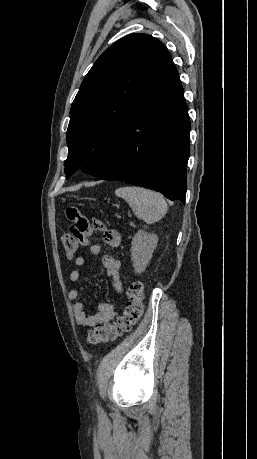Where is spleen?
<instances>
[{
    "label": "spleen",
    "instance_id": "3e777b00",
    "mask_svg": "<svg viewBox=\"0 0 257 459\" xmlns=\"http://www.w3.org/2000/svg\"><path fill=\"white\" fill-rule=\"evenodd\" d=\"M115 194L123 198L137 218L148 224L159 221L167 213L168 206L162 194L142 187L126 186L116 189Z\"/></svg>",
    "mask_w": 257,
    "mask_h": 459
}]
</instances>
